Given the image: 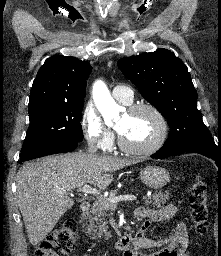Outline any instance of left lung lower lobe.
Masks as SVG:
<instances>
[{"instance_id":"obj_1","label":"left lung lower lobe","mask_w":221,"mask_h":256,"mask_svg":"<svg viewBox=\"0 0 221 256\" xmlns=\"http://www.w3.org/2000/svg\"><path fill=\"white\" fill-rule=\"evenodd\" d=\"M182 153H199L216 161L221 169V145H216L212 137H197L183 143L164 145L152 158L162 159Z\"/></svg>"}]
</instances>
